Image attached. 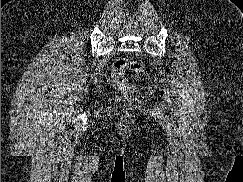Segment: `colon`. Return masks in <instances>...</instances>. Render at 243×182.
Masks as SVG:
<instances>
[{
    "mask_svg": "<svg viewBox=\"0 0 243 182\" xmlns=\"http://www.w3.org/2000/svg\"><path fill=\"white\" fill-rule=\"evenodd\" d=\"M140 69L141 64L136 61H131L128 59H119L115 61L111 71L113 85L119 90L128 91L130 87L125 76L126 72H136Z\"/></svg>",
    "mask_w": 243,
    "mask_h": 182,
    "instance_id": "1",
    "label": "colon"
}]
</instances>
